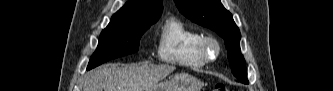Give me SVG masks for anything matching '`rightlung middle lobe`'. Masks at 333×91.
Instances as JSON below:
<instances>
[{"instance_id": "dd1d6c3e", "label": "right lung middle lobe", "mask_w": 333, "mask_h": 91, "mask_svg": "<svg viewBox=\"0 0 333 91\" xmlns=\"http://www.w3.org/2000/svg\"><path fill=\"white\" fill-rule=\"evenodd\" d=\"M158 19L109 23L100 34L98 47L89 61L87 70L108 60L137 52L142 34Z\"/></svg>"}]
</instances>
